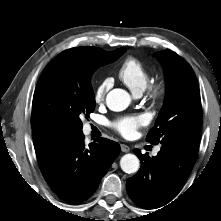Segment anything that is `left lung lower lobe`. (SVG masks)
<instances>
[{"label": "left lung lower lobe", "instance_id": "0a47b994", "mask_svg": "<svg viewBox=\"0 0 221 221\" xmlns=\"http://www.w3.org/2000/svg\"><path fill=\"white\" fill-rule=\"evenodd\" d=\"M133 152L141 161L127 180V192L138 206L155 209L172 200L185 184L196 160V150L179 144H162L156 157Z\"/></svg>", "mask_w": 221, "mask_h": 221}]
</instances>
